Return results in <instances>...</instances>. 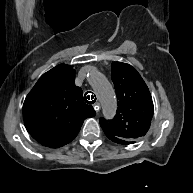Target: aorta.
Segmentation results:
<instances>
[{
  "label": "aorta",
  "instance_id": "762f6f07",
  "mask_svg": "<svg viewBox=\"0 0 193 193\" xmlns=\"http://www.w3.org/2000/svg\"><path fill=\"white\" fill-rule=\"evenodd\" d=\"M89 83L102 104L104 116L112 118L116 113L117 99L111 83L100 72H93L89 77Z\"/></svg>",
  "mask_w": 193,
  "mask_h": 193
}]
</instances>
